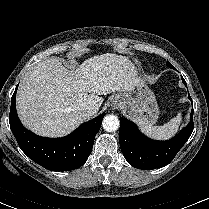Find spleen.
Returning a JSON list of instances; mask_svg holds the SVG:
<instances>
[{"label": "spleen", "instance_id": "obj_1", "mask_svg": "<svg viewBox=\"0 0 209 209\" xmlns=\"http://www.w3.org/2000/svg\"><path fill=\"white\" fill-rule=\"evenodd\" d=\"M182 120L181 113L172 118L168 123L162 126H153L152 124L145 123L143 121H137L140 130L150 138L157 140H166L173 137L179 129Z\"/></svg>", "mask_w": 209, "mask_h": 209}]
</instances>
